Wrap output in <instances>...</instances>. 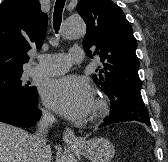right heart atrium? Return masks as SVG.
Listing matches in <instances>:
<instances>
[{
    "label": "right heart atrium",
    "instance_id": "1",
    "mask_svg": "<svg viewBox=\"0 0 168 162\" xmlns=\"http://www.w3.org/2000/svg\"><path fill=\"white\" fill-rule=\"evenodd\" d=\"M43 116H44L45 118H50V115H49L47 112H45V111H43Z\"/></svg>",
    "mask_w": 168,
    "mask_h": 162
}]
</instances>
